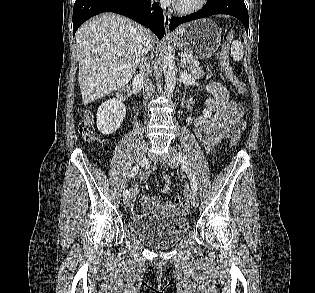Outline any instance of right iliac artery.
Masks as SVG:
<instances>
[{"label":"right iliac artery","mask_w":315,"mask_h":293,"mask_svg":"<svg viewBox=\"0 0 315 293\" xmlns=\"http://www.w3.org/2000/svg\"><path fill=\"white\" fill-rule=\"evenodd\" d=\"M138 170H139V166L138 165L134 166L133 169L131 170L130 174H129V177L130 178L134 177L138 173ZM128 193H129V191L127 189H125L123 191V197H127Z\"/></svg>","instance_id":"1"}]
</instances>
